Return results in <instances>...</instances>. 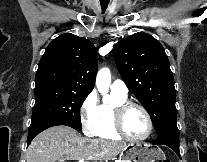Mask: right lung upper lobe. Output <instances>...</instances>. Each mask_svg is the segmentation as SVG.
Listing matches in <instances>:
<instances>
[{
  "label": "right lung upper lobe",
  "instance_id": "obj_1",
  "mask_svg": "<svg viewBox=\"0 0 207 162\" xmlns=\"http://www.w3.org/2000/svg\"><path fill=\"white\" fill-rule=\"evenodd\" d=\"M96 73L93 43L66 33L55 38L46 48L36 72L35 88L53 86L89 94Z\"/></svg>",
  "mask_w": 207,
  "mask_h": 162
}]
</instances>
